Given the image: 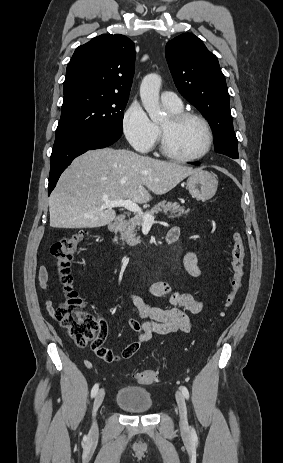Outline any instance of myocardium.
I'll return each instance as SVG.
<instances>
[{
	"mask_svg": "<svg viewBox=\"0 0 283 463\" xmlns=\"http://www.w3.org/2000/svg\"><path fill=\"white\" fill-rule=\"evenodd\" d=\"M169 121L172 125H179L180 123L188 120V119H195L198 120L204 127L207 135V142L204 150L195 156H181L172 151L168 145L167 138H166V132L163 129V127L160 125L159 126V148L161 153L166 156L167 158L177 161V162H182V163H191V162H196L201 159H203L205 156L208 155L210 152L212 146H213V141H214V135L213 131L211 128V125L209 121L201 114L193 111H181L179 113H171L169 116Z\"/></svg>",
	"mask_w": 283,
	"mask_h": 463,
	"instance_id": "obj_1",
	"label": "myocardium"
}]
</instances>
